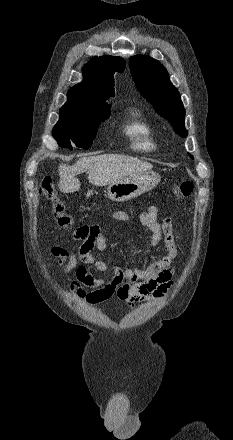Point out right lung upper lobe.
Segmentation results:
<instances>
[{
  "label": "right lung upper lobe",
  "instance_id": "1",
  "mask_svg": "<svg viewBox=\"0 0 233 440\" xmlns=\"http://www.w3.org/2000/svg\"><path fill=\"white\" fill-rule=\"evenodd\" d=\"M126 62L121 57L102 56L90 60L83 68L84 80L68 92L67 106L110 108L105 101L114 97L115 72H123Z\"/></svg>",
  "mask_w": 233,
  "mask_h": 440
}]
</instances>
